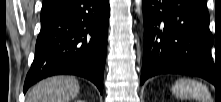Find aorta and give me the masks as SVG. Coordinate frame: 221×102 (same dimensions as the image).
I'll return each mask as SVG.
<instances>
[{
	"label": "aorta",
	"instance_id": "aorta-1",
	"mask_svg": "<svg viewBox=\"0 0 221 102\" xmlns=\"http://www.w3.org/2000/svg\"><path fill=\"white\" fill-rule=\"evenodd\" d=\"M135 2H136V5L139 7L140 5H141V3H142V1L141 0H135Z\"/></svg>",
	"mask_w": 221,
	"mask_h": 102
}]
</instances>
